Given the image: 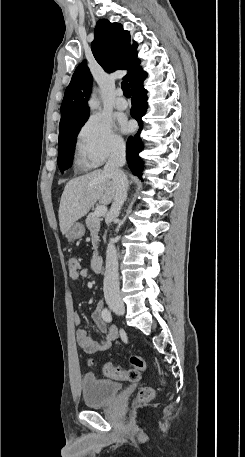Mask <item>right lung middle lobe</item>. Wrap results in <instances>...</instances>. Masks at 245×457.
Wrapping results in <instances>:
<instances>
[{"label":"right lung middle lobe","instance_id":"1","mask_svg":"<svg viewBox=\"0 0 245 457\" xmlns=\"http://www.w3.org/2000/svg\"><path fill=\"white\" fill-rule=\"evenodd\" d=\"M88 118L75 121L59 128L58 166L61 172L71 167L75 141L80 128Z\"/></svg>","mask_w":245,"mask_h":457}]
</instances>
